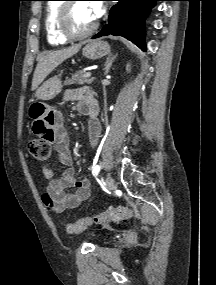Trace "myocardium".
<instances>
[{
  "mask_svg": "<svg viewBox=\"0 0 216 285\" xmlns=\"http://www.w3.org/2000/svg\"><path fill=\"white\" fill-rule=\"evenodd\" d=\"M76 2H65L62 4L58 17H57V28L60 35L67 40H80L92 35L98 28V21L86 31L77 32L73 29L71 23L72 9Z\"/></svg>",
  "mask_w": 216,
  "mask_h": 285,
  "instance_id": "1",
  "label": "myocardium"
}]
</instances>
